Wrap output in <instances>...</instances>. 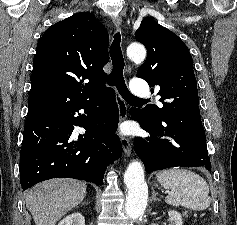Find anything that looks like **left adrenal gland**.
<instances>
[{
  "label": "left adrenal gland",
  "instance_id": "obj_1",
  "mask_svg": "<svg viewBox=\"0 0 237 225\" xmlns=\"http://www.w3.org/2000/svg\"><path fill=\"white\" fill-rule=\"evenodd\" d=\"M156 194H157V193H156L155 191H153L151 200H153V201H160L159 198H156Z\"/></svg>",
  "mask_w": 237,
  "mask_h": 225
}]
</instances>
